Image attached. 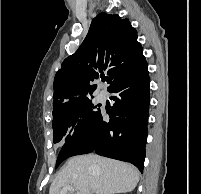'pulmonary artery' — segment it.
I'll return each mask as SVG.
<instances>
[{
  "label": "pulmonary artery",
  "instance_id": "pulmonary-artery-1",
  "mask_svg": "<svg viewBox=\"0 0 201 194\" xmlns=\"http://www.w3.org/2000/svg\"><path fill=\"white\" fill-rule=\"evenodd\" d=\"M106 100V93L105 92H101L99 94V101L103 102Z\"/></svg>",
  "mask_w": 201,
  "mask_h": 194
}]
</instances>
